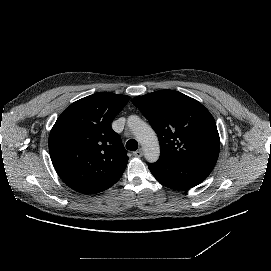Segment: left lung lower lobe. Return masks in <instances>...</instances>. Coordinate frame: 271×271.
<instances>
[{"instance_id":"0a47b994","label":"left lung lower lobe","mask_w":271,"mask_h":271,"mask_svg":"<svg viewBox=\"0 0 271 271\" xmlns=\"http://www.w3.org/2000/svg\"><path fill=\"white\" fill-rule=\"evenodd\" d=\"M154 177L164 186L175 190H187L204 181L214 166L160 156L148 165Z\"/></svg>"}]
</instances>
